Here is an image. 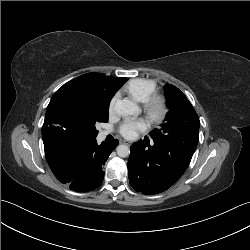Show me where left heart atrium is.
<instances>
[{"instance_id":"left-heart-atrium-1","label":"left heart atrium","mask_w":250,"mask_h":250,"mask_svg":"<svg viewBox=\"0 0 250 250\" xmlns=\"http://www.w3.org/2000/svg\"><path fill=\"white\" fill-rule=\"evenodd\" d=\"M146 128L147 122L142 119H126L120 126V133L124 137L132 139Z\"/></svg>"}]
</instances>
